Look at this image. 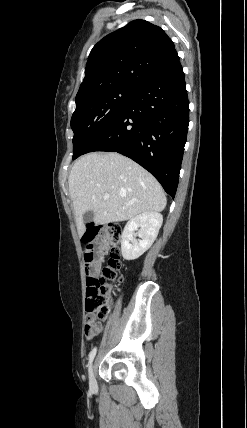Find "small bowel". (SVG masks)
I'll list each match as a JSON object with an SVG mask.
<instances>
[{"instance_id": "small-bowel-1", "label": "small bowel", "mask_w": 247, "mask_h": 428, "mask_svg": "<svg viewBox=\"0 0 247 428\" xmlns=\"http://www.w3.org/2000/svg\"><path fill=\"white\" fill-rule=\"evenodd\" d=\"M98 271H99V266L95 264L94 267H93V269H92V271H91V274L97 275ZM101 330H102V324L98 323L96 331L93 334H91V335H86L87 339H92L95 335H97L98 333H100Z\"/></svg>"}]
</instances>
